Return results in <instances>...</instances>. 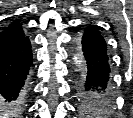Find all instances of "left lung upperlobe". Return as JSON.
I'll list each match as a JSON object with an SVG mask.
<instances>
[{"label": "left lung upper lobe", "instance_id": "1", "mask_svg": "<svg viewBox=\"0 0 133 118\" xmlns=\"http://www.w3.org/2000/svg\"><path fill=\"white\" fill-rule=\"evenodd\" d=\"M78 98L81 111L88 115L102 113L108 110L113 102L110 98L97 96L83 87H80L78 90Z\"/></svg>", "mask_w": 133, "mask_h": 118}]
</instances>
